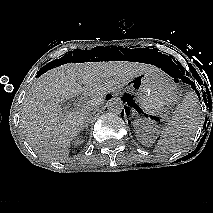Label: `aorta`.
Masks as SVG:
<instances>
[{
	"mask_svg": "<svg viewBox=\"0 0 213 213\" xmlns=\"http://www.w3.org/2000/svg\"><path fill=\"white\" fill-rule=\"evenodd\" d=\"M107 110L114 114H120L124 109V104L119 98H111L107 104Z\"/></svg>",
	"mask_w": 213,
	"mask_h": 213,
	"instance_id": "obj_1",
	"label": "aorta"
}]
</instances>
